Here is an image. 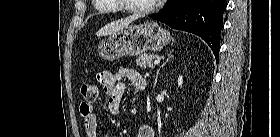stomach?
Here are the masks:
<instances>
[{
  "label": "stomach",
  "mask_w": 280,
  "mask_h": 137,
  "mask_svg": "<svg viewBox=\"0 0 280 137\" xmlns=\"http://www.w3.org/2000/svg\"><path fill=\"white\" fill-rule=\"evenodd\" d=\"M170 33L156 22L129 25L98 46L99 55L107 61L123 56L141 55L146 51H160L171 41Z\"/></svg>",
  "instance_id": "1"
}]
</instances>
